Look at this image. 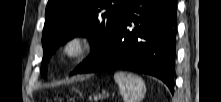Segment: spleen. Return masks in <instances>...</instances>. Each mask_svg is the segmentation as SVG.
Instances as JSON below:
<instances>
[{"mask_svg":"<svg viewBox=\"0 0 221 102\" xmlns=\"http://www.w3.org/2000/svg\"><path fill=\"white\" fill-rule=\"evenodd\" d=\"M114 80L118 84L124 102H141L146 93V86L141 77L128 73L116 72Z\"/></svg>","mask_w":221,"mask_h":102,"instance_id":"spleen-1","label":"spleen"}]
</instances>
